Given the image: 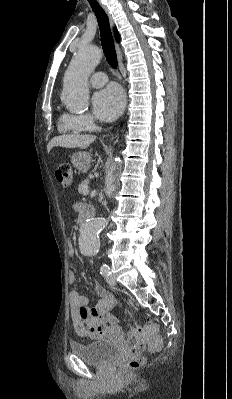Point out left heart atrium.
I'll use <instances>...</instances> for the list:
<instances>
[{"mask_svg": "<svg viewBox=\"0 0 232 399\" xmlns=\"http://www.w3.org/2000/svg\"><path fill=\"white\" fill-rule=\"evenodd\" d=\"M124 98L120 90L110 86L97 93L93 98L96 116L106 122L114 121L122 113Z\"/></svg>", "mask_w": 232, "mask_h": 399, "instance_id": "obj_1", "label": "left heart atrium"}]
</instances>
